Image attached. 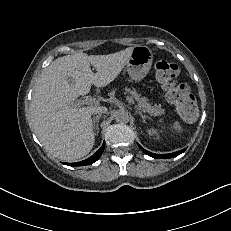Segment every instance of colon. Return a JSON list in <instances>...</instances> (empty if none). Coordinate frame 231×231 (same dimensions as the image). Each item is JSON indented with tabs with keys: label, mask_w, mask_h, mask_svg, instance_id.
Segmentation results:
<instances>
[{
	"label": "colon",
	"mask_w": 231,
	"mask_h": 231,
	"mask_svg": "<svg viewBox=\"0 0 231 231\" xmlns=\"http://www.w3.org/2000/svg\"><path fill=\"white\" fill-rule=\"evenodd\" d=\"M155 74L178 114L186 121L195 120L198 116L197 102L189 87L178 81V65L160 60L155 64Z\"/></svg>",
	"instance_id": "5ec220e1"
}]
</instances>
